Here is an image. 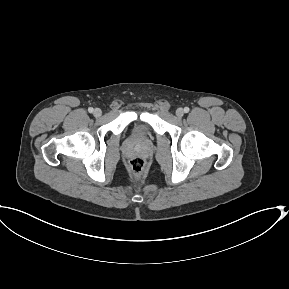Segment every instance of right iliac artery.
Segmentation results:
<instances>
[{
	"instance_id": "82829eb1",
	"label": "right iliac artery",
	"mask_w": 289,
	"mask_h": 289,
	"mask_svg": "<svg viewBox=\"0 0 289 289\" xmlns=\"http://www.w3.org/2000/svg\"><path fill=\"white\" fill-rule=\"evenodd\" d=\"M88 111H89L90 113H92V112L94 111V109H93L92 107H90V108L88 109Z\"/></svg>"
}]
</instances>
